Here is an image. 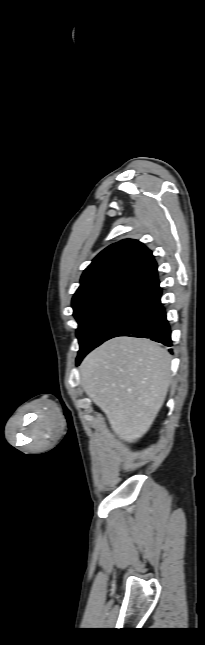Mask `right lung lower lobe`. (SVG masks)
Wrapping results in <instances>:
<instances>
[{
	"mask_svg": "<svg viewBox=\"0 0 205 645\" xmlns=\"http://www.w3.org/2000/svg\"><path fill=\"white\" fill-rule=\"evenodd\" d=\"M161 294L158 284L150 290L149 298L144 305L117 326L104 341L117 336H131L150 338L166 346H172L170 326L160 301ZM87 353L77 360V364Z\"/></svg>",
	"mask_w": 205,
	"mask_h": 645,
	"instance_id": "right-lung-lower-lobe-1",
	"label": "right lung lower lobe"
}]
</instances>
